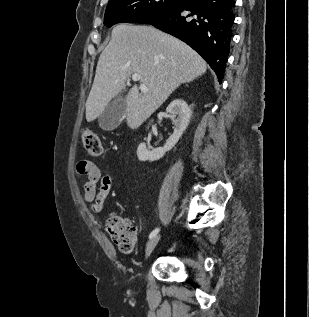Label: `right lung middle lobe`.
Returning a JSON list of instances; mask_svg holds the SVG:
<instances>
[{
    "mask_svg": "<svg viewBox=\"0 0 309 317\" xmlns=\"http://www.w3.org/2000/svg\"><path fill=\"white\" fill-rule=\"evenodd\" d=\"M187 0H109L104 25L108 28L121 22L135 23L148 15L176 8Z\"/></svg>",
    "mask_w": 309,
    "mask_h": 317,
    "instance_id": "right-lung-middle-lobe-1",
    "label": "right lung middle lobe"
}]
</instances>
